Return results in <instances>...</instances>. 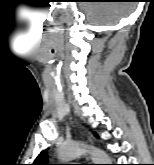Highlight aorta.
Returning a JSON list of instances; mask_svg holds the SVG:
<instances>
[{"mask_svg":"<svg viewBox=\"0 0 154 165\" xmlns=\"http://www.w3.org/2000/svg\"><path fill=\"white\" fill-rule=\"evenodd\" d=\"M87 149L88 147L83 143L72 142L59 149L58 158L61 162H69L83 154ZM91 155L94 164H110L111 162L109 156L99 148H92Z\"/></svg>","mask_w":154,"mask_h":165,"instance_id":"obj_1","label":"aorta"}]
</instances>
